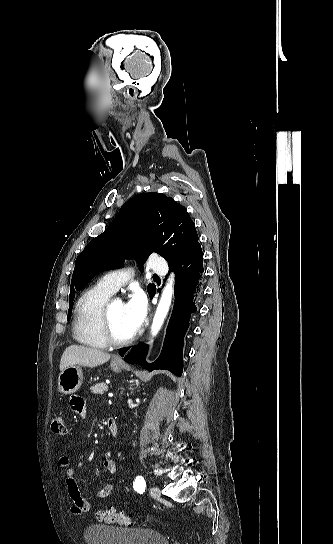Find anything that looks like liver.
Returning a JSON list of instances; mask_svg holds the SVG:
<instances>
[{
  "instance_id": "liver-1",
  "label": "liver",
  "mask_w": 333,
  "mask_h": 544,
  "mask_svg": "<svg viewBox=\"0 0 333 544\" xmlns=\"http://www.w3.org/2000/svg\"><path fill=\"white\" fill-rule=\"evenodd\" d=\"M110 357V354L98 349L81 345H71L63 352L59 368L60 371L73 365L93 368L106 363Z\"/></svg>"
}]
</instances>
